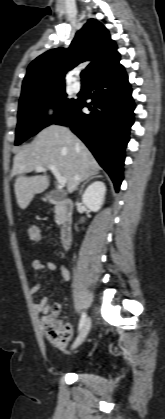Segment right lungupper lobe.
<instances>
[{
	"mask_svg": "<svg viewBox=\"0 0 165 419\" xmlns=\"http://www.w3.org/2000/svg\"><path fill=\"white\" fill-rule=\"evenodd\" d=\"M120 55L108 30L96 19H89L68 49L56 48L37 57L28 67L20 101L65 86V74L79 63L86 67L88 82L100 78L119 66Z\"/></svg>",
	"mask_w": 165,
	"mask_h": 419,
	"instance_id": "1",
	"label": "right lung upper lobe"
}]
</instances>
